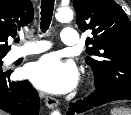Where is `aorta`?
<instances>
[{
  "label": "aorta",
  "mask_w": 131,
  "mask_h": 115,
  "mask_svg": "<svg viewBox=\"0 0 131 115\" xmlns=\"http://www.w3.org/2000/svg\"><path fill=\"white\" fill-rule=\"evenodd\" d=\"M55 17L59 22L70 21L73 18V11L70 8H60ZM51 115H60V112L56 110Z\"/></svg>",
  "instance_id": "762f6f07"
}]
</instances>
